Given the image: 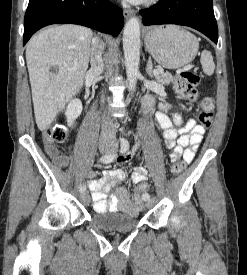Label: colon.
Returning <instances> with one entry per match:
<instances>
[{
  "instance_id": "obj_1",
  "label": "colon",
  "mask_w": 247,
  "mask_h": 275,
  "mask_svg": "<svg viewBox=\"0 0 247 275\" xmlns=\"http://www.w3.org/2000/svg\"><path fill=\"white\" fill-rule=\"evenodd\" d=\"M200 76L188 69L180 70L177 80L175 82V90L178 95L188 103H193L197 100L198 92L197 86L200 83ZM214 112V99L211 96L205 97L201 102V111L199 113V122L203 128H209L212 124ZM68 137L67 129L64 126H55L44 135V141L47 144H61L66 141ZM184 161H178L171 167L173 175H179L185 168ZM150 190V185L146 182L138 185L135 188V194L142 196Z\"/></svg>"
}]
</instances>
